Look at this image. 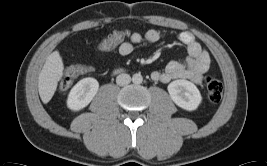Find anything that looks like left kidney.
Instances as JSON below:
<instances>
[{
  "label": "left kidney",
  "mask_w": 267,
  "mask_h": 166,
  "mask_svg": "<svg viewBox=\"0 0 267 166\" xmlns=\"http://www.w3.org/2000/svg\"><path fill=\"white\" fill-rule=\"evenodd\" d=\"M168 92L174 103L187 111L196 110L202 101L200 91L188 80L172 81L168 85Z\"/></svg>",
  "instance_id": "1"
}]
</instances>
